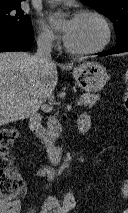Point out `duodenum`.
<instances>
[{"instance_id":"1","label":"duodenum","mask_w":128,"mask_h":213,"mask_svg":"<svg viewBox=\"0 0 128 213\" xmlns=\"http://www.w3.org/2000/svg\"><path fill=\"white\" fill-rule=\"evenodd\" d=\"M91 125V121L88 115L82 114L78 118V134L82 138L88 132ZM30 129L32 132L41 140L43 143L48 158L53 163H58L61 160L62 148L56 146L54 138L45 130L42 125L41 116L35 114L30 118L29 122Z\"/></svg>"}]
</instances>
